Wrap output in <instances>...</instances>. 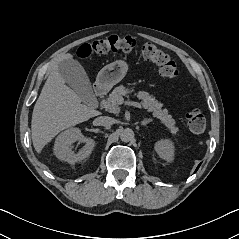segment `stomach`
Returning <instances> with one entry per match:
<instances>
[{"instance_id": "1", "label": "stomach", "mask_w": 239, "mask_h": 239, "mask_svg": "<svg viewBox=\"0 0 239 239\" xmlns=\"http://www.w3.org/2000/svg\"><path fill=\"white\" fill-rule=\"evenodd\" d=\"M127 69L126 62L114 61L100 70L96 78V84L103 89H111L125 77Z\"/></svg>"}]
</instances>
